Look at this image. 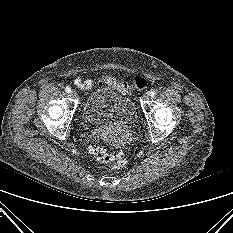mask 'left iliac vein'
Segmentation results:
<instances>
[{
    "label": "left iliac vein",
    "instance_id": "left-iliac-vein-1",
    "mask_svg": "<svg viewBox=\"0 0 233 233\" xmlns=\"http://www.w3.org/2000/svg\"><path fill=\"white\" fill-rule=\"evenodd\" d=\"M149 99H150V93L147 92V93H145V94L143 95V100H144V101H147V100H149Z\"/></svg>",
    "mask_w": 233,
    "mask_h": 233
}]
</instances>
